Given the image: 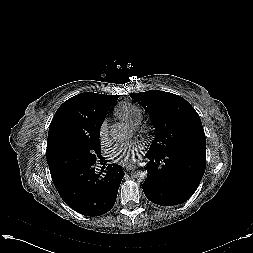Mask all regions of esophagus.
Wrapping results in <instances>:
<instances>
[{
	"instance_id": "obj_1",
	"label": "esophagus",
	"mask_w": 253,
	"mask_h": 253,
	"mask_svg": "<svg viewBox=\"0 0 253 253\" xmlns=\"http://www.w3.org/2000/svg\"><path fill=\"white\" fill-rule=\"evenodd\" d=\"M133 169V165H124V170L126 172L131 171Z\"/></svg>"
}]
</instances>
